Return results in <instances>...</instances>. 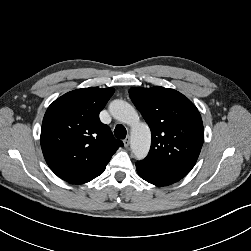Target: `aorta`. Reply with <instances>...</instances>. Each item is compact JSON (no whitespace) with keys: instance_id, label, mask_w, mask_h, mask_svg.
<instances>
[{"instance_id":"aorta-1","label":"aorta","mask_w":251,"mask_h":251,"mask_svg":"<svg viewBox=\"0 0 251 251\" xmlns=\"http://www.w3.org/2000/svg\"><path fill=\"white\" fill-rule=\"evenodd\" d=\"M109 112L116 120L131 126V150L137 160L145 158L150 149L151 132L146 123L139 120L136 110L123 100H113Z\"/></svg>"}]
</instances>
